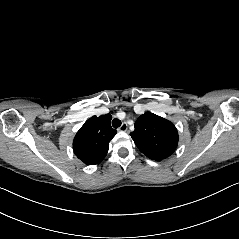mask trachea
<instances>
[{
  "mask_svg": "<svg viewBox=\"0 0 239 239\" xmlns=\"http://www.w3.org/2000/svg\"><path fill=\"white\" fill-rule=\"evenodd\" d=\"M112 126H113L114 128L120 127V126H121V121H120L119 119H113V121H112Z\"/></svg>",
  "mask_w": 239,
  "mask_h": 239,
  "instance_id": "trachea-1",
  "label": "trachea"
}]
</instances>
